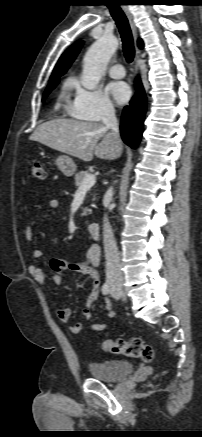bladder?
Returning <instances> with one entry per match:
<instances>
[{
	"label": "bladder",
	"instance_id": "1",
	"mask_svg": "<svg viewBox=\"0 0 202 437\" xmlns=\"http://www.w3.org/2000/svg\"><path fill=\"white\" fill-rule=\"evenodd\" d=\"M89 371L95 379L105 382H118L133 373L134 365L126 360H107L90 363Z\"/></svg>",
	"mask_w": 202,
	"mask_h": 437
}]
</instances>
